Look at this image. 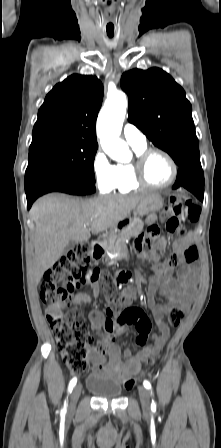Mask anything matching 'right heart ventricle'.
Instances as JSON below:
<instances>
[{
	"label": "right heart ventricle",
	"mask_w": 221,
	"mask_h": 448,
	"mask_svg": "<svg viewBox=\"0 0 221 448\" xmlns=\"http://www.w3.org/2000/svg\"><path fill=\"white\" fill-rule=\"evenodd\" d=\"M136 154L144 151L146 146L133 147ZM142 186L138 184L134 179V171L132 163L117 165V180L114 186V190L119 193H129L140 189Z\"/></svg>",
	"instance_id": "obj_1"
}]
</instances>
